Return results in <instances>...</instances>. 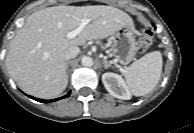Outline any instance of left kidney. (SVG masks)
<instances>
[{
    "label": "left kidney",
    "mask_w": 194,
    "mask_h": 133,
    "mask_svg": "<svg viewBox=\"0 0 194 133\" xmlns=\"http://www.w3.org/2000/svg\"><path fill=\"white\" fill-rule=\"evenodd\" d=\"M102 82L113 97L123 100L131 98V93L120 75L111 72L104 73L102 75Z\"/></svg>",
    "instance_id": "left-kidney-1"
}]
</instances>
